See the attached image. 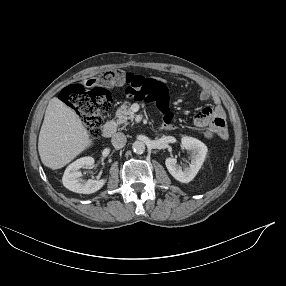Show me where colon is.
I'll return each mask as SVG.
<instances>
[{
  "instance_id": "5ec220e1",
  "label": "colon",
  "mask_w": 286,
  "mask_h": 286,
  "mask_svg": "<svg viewBox=\"0 0 286 286\" xmlns=\"http://www.w3.org/2000/svg\"><path fill=\"white\" fill-rule=\"evenodd\" d=\"M116 76V72L109 71L102 75L100 81H109ZM129 96L140 95L147 100L157 102L165 113V119L171 120L173 114L168 110L166 86L157 80L145 79L130 74L126 75ZM61 100L74 108L92 136H97L104 122V114L112 106V97L101 87L87 89L82 84H73L63 89ZM198 132L200 137L209 143L228 137L226 126L217 117L209 116L199 119Z\"/></svg>"
}]
</instances>
